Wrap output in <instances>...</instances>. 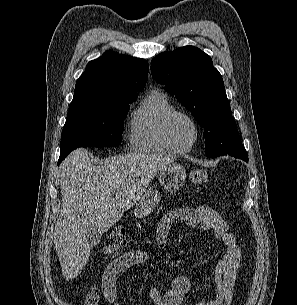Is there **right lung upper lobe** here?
<instances>
[{
	"mask_svg": "<svg viewBox=\"0 0 297 305\" xmlns=\"http://www.w3.org/2000/svg\"><path fill=\"white\" fill-rule=\"evenodd\" d=\"M148 71L144 59L106 51L86 66L76 82L70 106L137 97L146 84Z\"/></svg>",
	"mask_w": 297,
	"mask_h": 305,
	"instance_id": "1",
	"label": "right lung upper lobe"
}]
</instances>
